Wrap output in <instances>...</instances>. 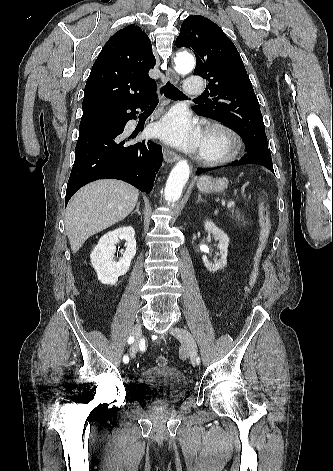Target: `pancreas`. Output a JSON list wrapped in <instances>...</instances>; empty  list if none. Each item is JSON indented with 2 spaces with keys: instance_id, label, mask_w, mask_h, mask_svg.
Returning a JSON list of instances; mask_svg holds the SVG:
<instances>
[{
  "instance_id": "obj_1",
  "label": "pancreas",
  "mask_w": 333,
  "mask_h": 471,
  "mask_svg": "<svg viewBox=\"0 0 333 471\" xmlns=\"http://www.w3.org/2000/svg\"><path fill=\"white\" fill-rule=\"evenodd\" d=\"M230 212H231V215H230L231 218L233 220H235L236 222H238V223H245L246 222L244 215L241 214L240 212L235 211L234 209H232Z\"/></svg>"
}]
</instances>
